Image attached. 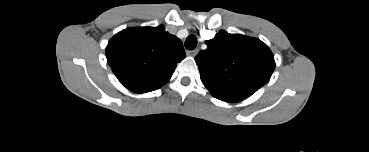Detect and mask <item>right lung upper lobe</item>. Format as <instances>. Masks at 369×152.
Instances as JSON below:
<instances>
[{"mask_svg": "<svg viewBox=\"0 0 369 152\" xmlns=\"http://www.w3.org/2000/svg\"><path fill=\"white\" fill-rule=\"evenodd\" d=\"M182 42L164 26L127 28L106 47L112 71L127 89L146 93L167 83L185 58Z\"/></svg>", "mask_w": 369, "mask_h": 152, "instance_id": "obj_1", "label": "right lung upper lobe"}]
</instances>
